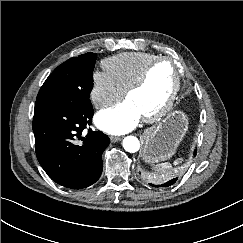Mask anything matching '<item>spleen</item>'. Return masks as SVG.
<instances>
[{
	"instance_id": "spleen-1",
	"label": "spleen",
	"mask_w": 243,
	"mask_h": 243,
	"mask_svg": "<svg viewBox=\"0 0 243 243\" xmlns=\"http://www.w3.org/2000/svg\"><path fill=\"white\" fill-rule=\"evenodd\" d=\"M181 159H177L174 161V164L177 165L179 162H180ZM172 166L170 163L168 162H165V163H161V164H158L154 167V169L158 172H164L168 169H170Z\"/></svg>"
}]
</instances>
